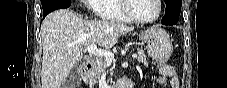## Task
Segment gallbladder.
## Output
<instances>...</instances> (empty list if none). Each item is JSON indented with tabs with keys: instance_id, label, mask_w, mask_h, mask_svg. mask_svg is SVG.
Wrapping results in <instances>:
<instances>
[{
	"instance_id": "obj_1",
	"label": "gallbladder",
	"mask_w": 227,
	"mask_h": 88,
	"mask_svg": "<svg viewBox=\"0 0 227 88\" xmlns=\"http://www.w3.org/2000/svg\"><path fill=\"white\" fill-rule=\"evenodd\" d=\"M84 60H80L75 67L71 70V72L69 73L66 82H65V86L66 87H73L75 85H77L80 81L79 79V68L84 64Z\"/></svg>"
}]
</instances>
